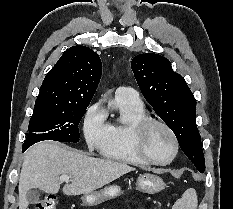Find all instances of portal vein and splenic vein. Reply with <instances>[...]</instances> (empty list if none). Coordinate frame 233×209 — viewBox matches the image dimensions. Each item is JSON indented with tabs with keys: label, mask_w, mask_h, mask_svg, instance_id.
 Masks as SVG:
<instances>
[{
	"label": "portal vein and splenic vein",
	"mask_w": 233,
	"mask_h": 209,
	"mask_svg": "<svg viewBox=\"0 0 233 209\" xmlns=\"http://www.w3.org/2000/svg\"><path fill=\"white\" fill-rule=\"evenodd\" d=\"M69 176L68 175H61L60 176V180H62V181H66V182H68L69 181Z\"/></svg>",
	"instance_id": "portal-vein-and-splenic-vein-1"
}]
</instances>
